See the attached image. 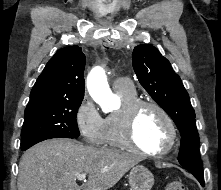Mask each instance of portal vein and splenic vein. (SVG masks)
Masks as SVG:
<instances>
[{
	"label": "portal vein and splenic vein",
	"mask_w": 221,
	"mask_h": 190,
	"mask_svg": "<svg viewBox=\"0 0 221 190\" xmlns=\"http://www.w3.org/2000/svg\"><path fill=\"white\" fill-rule=\"evenodd\" d=\"M77 179L80 180V181H85V179H86V174H85V173H84V174H79V175L77 176Z\"/></svg>",
	"instance_id": "1"
}]
</instances>
